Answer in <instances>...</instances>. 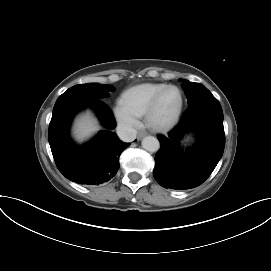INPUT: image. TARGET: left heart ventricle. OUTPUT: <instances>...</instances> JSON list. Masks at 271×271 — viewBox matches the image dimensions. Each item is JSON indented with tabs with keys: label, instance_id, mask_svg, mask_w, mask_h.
Instances as JSON below:
<instances>
[{
	"label": "left heart ventricle",
	"instance_id": "obj_1",
	"mask_svg": "<svg viewBox=\"0 0 271 271\" xmlns=\"http://www.w3.org/2000/svg\"><path fill=\"white\" fill-rule=\"evenodd\" d=\"M179 105V94L175 89L168 90L162 97L155 118L159 122L170 119Z\"/></svg>",
	"mask_w": 271,
	"mask_h": 271
}]
</instances>
